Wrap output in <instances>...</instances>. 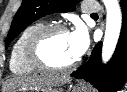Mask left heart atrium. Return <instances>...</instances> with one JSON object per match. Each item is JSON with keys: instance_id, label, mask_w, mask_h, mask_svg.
Listing matches in <instances>:
<instances>
[{"instance_id": "39dd6f15", "label": "left heart atrium", "mask_w": 127, "mask_h": 92, "mask_svg": "<svg viewBox=\"0 0 127 92\" xmlns=\"http://www.w3.org/2000/svg\"><path fill=\"white\" fill-rule=\"evenodd\" d=\"M70 40L75 56L77 58L81 57L89 46V36L86 28L82 25H78L70 32Z\"/></svg>"}]
</instances>
